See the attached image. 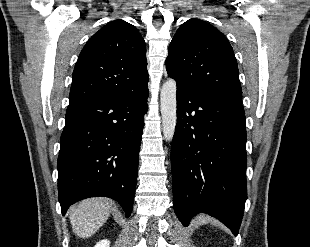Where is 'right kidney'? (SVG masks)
<instances>
[{
	"label": "right kidney",
	"instance_id": "ca27d5eb",
	"mask_svg": "<svg viewBox=\"0 0 310 247\" xmlns=\"http://www.w3.org/2000/svg\"><path fill=\"white\" fill-rule=\"evenodd\" d=\"M94 247H110V241L107 239L101 240Z\"/></svg>",
	"mask_w": 310,
	"mask_h": 247
}]
</instances>
